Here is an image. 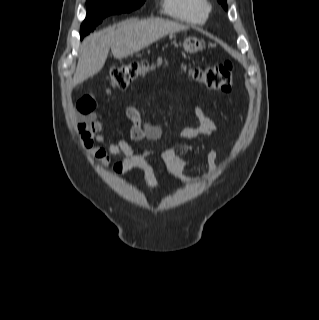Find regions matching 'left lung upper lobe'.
<instances>
[{"label": "left lung upper lobe", "instance_id": "5c2ea615", "mask_svg": "<svg viewBox=\"0 0 319 320\" xmlns=\"http://www.w3.org/2000/svg\"><path fill=\"white\" fill-rule=\"evenodd\" d=\"M218 2L223 6V8L227 9V0H218Z\"/></svg>", "mask_w": 319, "mask_h": 320}]
</instances>
